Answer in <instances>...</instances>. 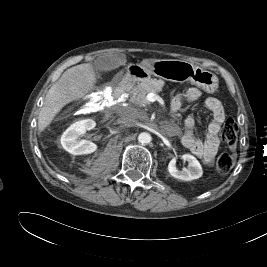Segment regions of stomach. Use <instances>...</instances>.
<instances>
[{
	"label": "stomach",
	"instance_id": "obj_1",
	"mask_svg": "<svg viewBox=\"0 0 267 267\" xmlns=\"http://www.w3.org/2000/svg\"><path fill=\"white\" fill-rule=\"evenodd\" d=\"M137 67L139 72L131 76L138 81H146L154 75L170 81H189L208 93H214L218 88V78L214 73L184 60H149Z\"/></svg>",
	"mask_w": 267,
	"mask_h": 267
}]
</instances>
